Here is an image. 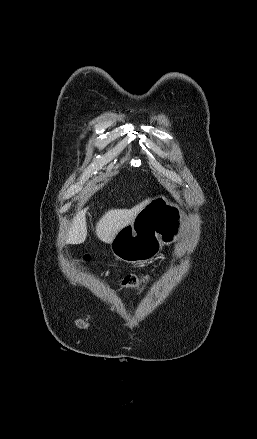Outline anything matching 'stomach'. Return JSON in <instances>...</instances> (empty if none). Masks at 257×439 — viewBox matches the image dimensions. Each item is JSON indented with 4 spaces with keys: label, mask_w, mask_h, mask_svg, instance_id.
Listing matches in <instances>:
<instances>
[{
    "label": "stomach",
    "mask_w": 257,
    "mask_h": 439,
    "mask_svg": "<svg viewBox=\"0 0 257 439\" xmlns=\"http://www.w3.org/2000/svg\"><path fill=\"white\" fill-rule=\"evenodd\" d=\"M185 211L160 195L152 199L115 235L110 243L114 256L127 263H142L153 259L163 244L175 242L184 229Z\"/></svg>",
    "instance_id": "stomach-1"
}]
</instances>
